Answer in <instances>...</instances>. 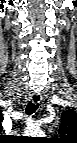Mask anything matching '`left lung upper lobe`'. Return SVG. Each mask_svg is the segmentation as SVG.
I'll use <instances>...</instances> for the list:
<instances>
[{
    "label": "left lung upper lobe",
    "mask_w": 77,
    "mask_h": 143,
    "mask_svg": "<svg viewBox=\"0 0 77 143\" xmlns=\"http://www.w3.org/2000/svg\"><path fill=\"white\" fill-rule=\"evenodd\" d=\"M58 132L60 134L61 140L76 141V137H77V113L76 112L70 111V110L62 112L61 126ZM65 143H68V142H65Z\"/></svg>",
    "instance_id": "5c2ea615"
}]
</instances>
